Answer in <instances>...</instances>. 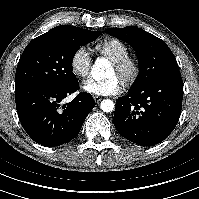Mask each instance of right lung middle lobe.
Listing matches in <instances>:
<instances>
[{
	"label": "right lung middle lobe",
	"mask_w": 199,
	"mask_h": 199,
	"mask_svg": "<svg viewBox=\"0 0 199 199\" xmlns=\"http://www.w3.org/2000/svg\"><path fill=\"white\" fill-rule=\"evenodd\" d=\"M99 35V31L78 27L53 28L33 39L20 57L15 86L42 83L59 87L78 81L72 72L73 57L80 46Z\"/></svg>",
	"instance_id": "dd1d6c3e"
}]
</instances>
